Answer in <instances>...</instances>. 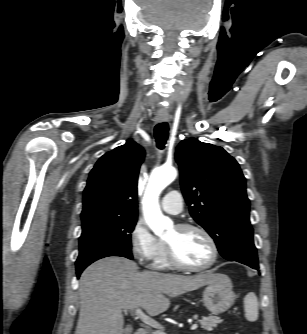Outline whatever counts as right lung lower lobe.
I'll return each mask as SVG.
<instances>
[{"label": "right lung lower lobe", "instance_id": "1", "mask_svg": "<svg viewBox=\"0 0 307 334\" xmlns=\"http://www.w3.org/2000/svg\"><path fill=\"white\" fill-rule=\"evenodd\" d=\"M83 270H77V277L79 278V276H80V274H81V272H82Z\"/></svg>", "mask_w": 307, "mask_h": 334}]
</instances>
